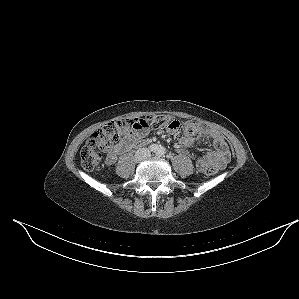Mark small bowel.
<instances>
[{
    "label": "small bowel",
    "instance_id": "small-bowel-1",
    "mask_svg": "<svg viewBox=\"0 0 299 299\" xmlns=\"http://www.w3.org/2000/svg\"><path fill=\"white\" fill-rule=\"evenodd\" d=\"M145 132H128L109 152L106 163L112 165L118 154L127 152L139 139H141ZM212 138L214 150L209 151L203 156L195 158L196 167L200 171H204V168L208 165H215L217 168H224L230 160V150L225 139L214 130L202 129L196 137L183 136L179 139L178 148H189L195 139Z\"/></svg>",
    "mask_w": 299,
    "mask_h": 299
}]
</instances>
